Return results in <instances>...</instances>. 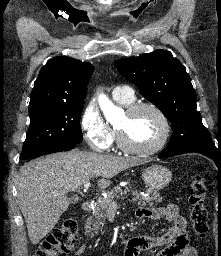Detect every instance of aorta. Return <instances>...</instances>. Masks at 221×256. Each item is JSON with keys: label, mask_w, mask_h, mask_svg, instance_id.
<instances>
[{"label": "aorta", "mask_w": 221, "mask_h": 256, "mask_svg": "<svg viewBox=\"0 0 221 256\" xmlns=\"http://www.w3.org/2000/svg\"><path fill=\"white\" fill-rule=\"evenodd\" d=\"M98 101L107 119L113 118L120 111L105 95H100Z\"/></svg>", "instance_id": "762f6f07"}]
</instances>
